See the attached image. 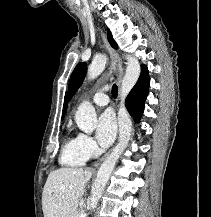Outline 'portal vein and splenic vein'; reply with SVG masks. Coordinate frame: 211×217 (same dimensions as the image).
I'll use <instances>...</instances> for the list:
<instances>
[{"instance_id":"1","label":"portal vein and splenic vein","mask_w":211,"mask_h":217,"mask_svg":"<svg viewBox=\"0 0 211 217\" xmlns=\"http://www.w3.org/2000/svg\"><path fill=\"white\" fill-rule=\"evenodd\" d=\"M79 217H85V216H84V214H83V213H81V214L79 215Z\"/></svg>"}]
</instances>
